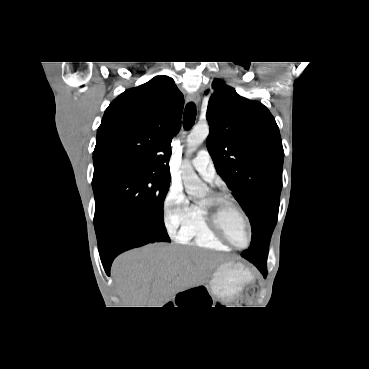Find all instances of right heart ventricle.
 Listing matches in <instances>:
<instances>
[{
  "mask_svg": "<svg viewBox=\"0 0 369 369\" xmlns=\"http://www.w3.org/2000/svg\"><path fill=\"white\" fill-rule=\"evenodd\" d=\"M178 239L209 249L230 250V247L221 242L208 227L200 204L193 205L191 217L183 231L179 234Z\"/></svg>",
  "mask_w": 369,
  "mask_h": 369,
  "instance_id": "e07e8e85",
  "label": "right heart ventricle"
}]
</instances>
